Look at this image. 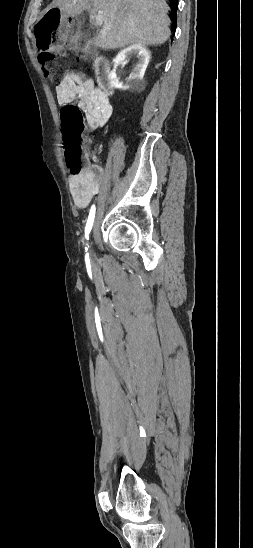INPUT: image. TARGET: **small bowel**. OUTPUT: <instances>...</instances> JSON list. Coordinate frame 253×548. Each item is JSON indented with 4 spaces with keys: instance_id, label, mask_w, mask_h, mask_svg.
I'll return each instance as SVG.
<instances>
[{
    "instance_id": "c3829d8e",
    "label": "small bowel",
    "mask_w": 253,
    "mask_h": 548,
    "mask_svg": "<svg viewBox=\"0 0 253 548\" xmlns=\"http://www.w3.org/2000/svg\"><path fill=\"white\" fill-rule=\"evenodd\" d=\"M55 94L60 105L76 103L83 109L92 130L104 127L111 116L112 107L108 97L82 72L67 73L62 83L56 87ZM101 182V170L91 164H87L80 175L70 177L69 187L75 206L79 209L86 208L99 192Z\"/></svg>"
}]
</instances>
